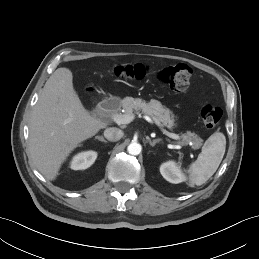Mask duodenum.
<instances>
[{"label": "duodenum", "instance_id": "duodenum-1", "mask_svg": "<svg viewBox=\"0 0 259 259\" xmlns=\"http://www.w3.org/2000/svg\"><path fill=\"white\" fill-rule=\"evenodd\" d=\"M120 102L116 99H107L100 103L99 110L103 113H112L118 110Z\"/></svg>", "mask_w": 259, "mask_h": 259}]
</instances>
